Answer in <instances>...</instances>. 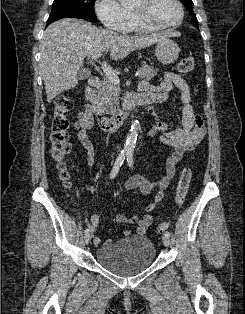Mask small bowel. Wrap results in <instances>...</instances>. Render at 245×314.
I'll return each mask as SVG.
<instances>
[{
  "instance_id": "obj_1",
  "label": "small bowel",
  "mask_w": 245,
  "mask_h": 314,
  "mask_svg": "<svg viewBox=\"0 0 245 314\" xmlns=\"http://www.w3.org/2000/svg\"><path fill=\"white\" fill-rule=\"evenodd\" d=\"M174 86L181 92V100L183 102L182 126L172 128L166 122L160 121L148 131L150 137H158L162 143L169 145L173 149L170 156L166 159L165 172L162 179L157 183H152L143 176L136 175L130 177L124 183L125 190L131 191L138 189L143 195H148L155 189L158 190L154 202L145 206L144 215L139 217L119 214L116 218L117 221L121 223L135 224V234L137 236H144L147 229L152 225L154 219L150 212L154 210L157 204L163 199V190L172 181L176 166L183 155L187 151L195 148L202 141L206 133L204 121L199 114L195 113L192 105L194 92L191 90L188 83L178 74L172 72L167 73L158 86L151 85L148 82H142L140 84L141 94L146 97L142 104H157L167 101L169 92ZM94 125V118L87 109L81 110L78 113L75 129L77 131L78 140L85 149L86 162L89 167H93L95 164V149L90 138V131L94 128ZM98 226L99 217L94 214L90 217V230L92 234L97 230ZM130 234L131 232L129 230L122 232L123 237H128ZM109 242H111L110 239L106 240L104 244ZM101 243L102 240L99 237L94 238L95 245Z\"/></svg>"
}]
</instances>
